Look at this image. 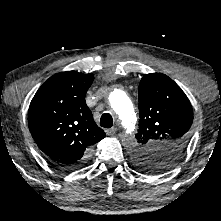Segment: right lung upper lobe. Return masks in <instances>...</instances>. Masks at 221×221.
<instances>
[{"label":"right lung upper lobe","instance_id":"cb5924a9","mask_svg":"<svg viewBox=\"0 0 221 221\" xmlns=\"http://www.w3.org/2000/svg\"><path fill=\"white\" fill-rule=\"evenodd\" d=\"M93 74L67 71L50 77L36 92L28 125L38 147L54 163L87 159L91 146L105 137L86 105Z\"/></svg>","mask_w":221,"mask_h":221}]
</instances>
